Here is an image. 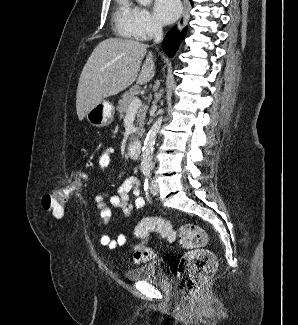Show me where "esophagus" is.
<instances>
[{
    "mask_svg": "<svg viewBox=\"0 0 298 325\" xmlns=\"http://www.w3.org/2000/svg\"><path fill=\"white\" fill-rule=\"evenodd\" d=\"M189 11H190V6L188 4L185 5V9L184 12L182 13L181 17L179 18L178 22H177V29L179 31H181L185 25L188 22L189 19Z\"/></svg>",
    "mask_w": 298,
    "mask_h": 325,
    "instance_id": "34e87169",
    "label": "esophagus"
}]
</instances>
